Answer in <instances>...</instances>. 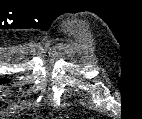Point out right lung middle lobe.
I'll return each mask as SVG.
<instances>
[{
  "label": "right lung middle lobe",
  "instance_id": "obj_1",
  "mask_svg": "<svg viewBox=\"0 0 142 119\" xmlns=\"http://www.w3.org/2000/svg\"><path fill=\"white\" fill-rule=\"evenodd\" d=\"M6 80H2L1 82H5Z\"/></svg>",
  "mask_w": 142,
  "mask_h": 119
}]
</instances>
